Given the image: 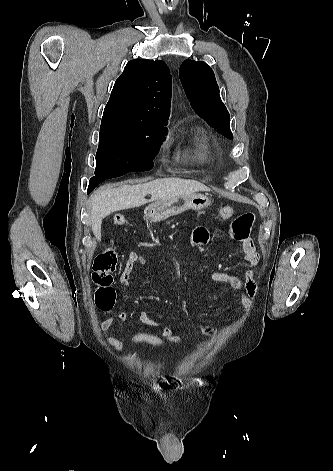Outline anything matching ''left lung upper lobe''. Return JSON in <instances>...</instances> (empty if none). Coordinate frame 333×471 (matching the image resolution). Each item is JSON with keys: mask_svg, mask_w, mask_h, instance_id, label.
Segmentation results:
<instances>
[{"mask_svg": "<svg viewBox=\"0 0 333 471\" xmlns=\"http://www.w3.org/2000/svg\"><path fill=\"white\" fill-rule=\"evenodd\" d=\"M179 76L195 112L219 133L233 139L229 113L219 96L212 69L203 61L187 59L180 66Z\"/></svg>", "mask_w": 333, "mask_h": 471, "instance_id": "left-lung-upper-lobe-1", "label": "left lung upper lobe"}]
</instances>
